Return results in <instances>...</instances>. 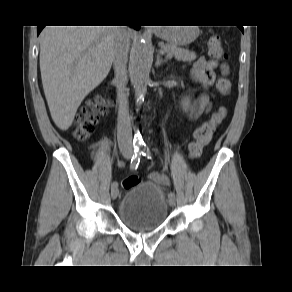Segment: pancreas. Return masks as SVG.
<instances>
[{"mask_svg": "<svg viewBox=\"0 0 292 292\" xmlns=\"http://www.w3.org/2000/svg\"><path fill=\"white\" fill-rule=\"evenodd\" d=\"M160 46L168 54V57L174 56L177 60L191 62L197 58L195 52L176 45L161 43Z\"/></svg>", "mask_w": 292, "mask_h": 292, "instance_id": "pancreas-1", "label": "pancreas"}]
</instances>
